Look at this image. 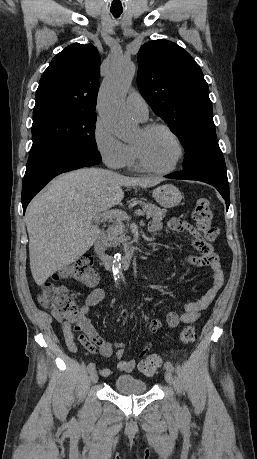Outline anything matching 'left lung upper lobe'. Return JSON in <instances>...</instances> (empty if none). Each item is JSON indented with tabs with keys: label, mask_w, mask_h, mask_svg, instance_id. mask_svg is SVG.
Instances as JSON below:
<instances>
[{
	"label": "left lung upper lobe",
	"mask_w": 257,
	"mask_h": 459,
	"mask_svg": "<svg viewBox=\"0 0 257 459\" xmlns=\"http://www.w3.org/2000/svg\"><path fill=\"white\" fill-rule=\"evenodd\" d=\"M137 82L152 110L182 143L183 167L200 166L217 136L208 84L199 65L177 44L154 40L139 50Z\"/></svg>",
	"instance_id": "left-lung-upper-lobe-1"
}]
</instances>
